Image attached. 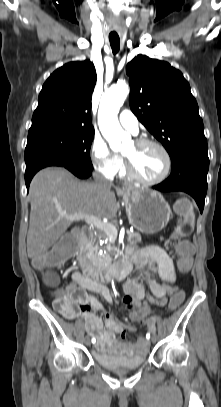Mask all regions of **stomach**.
<instances>
[{
    "label": "stomach",
    "mask_w": 221,
    "mask_h": 407,
    "mask_svg": "<svg viewBox=\"0 0 221 407\" xmlns=\"http://www.w3.org/2000/svg\"><path fill=\"white\" fill-rule=\"evenodd\" d=\"M129 223L145 234L161 231L171 218V209L161 193L147 189L123 192Z\"/></svg>",
    "instance_id": "stomach-1"
}]
</instances>
